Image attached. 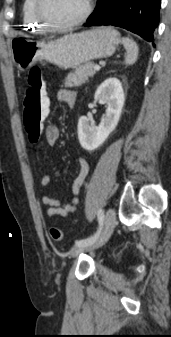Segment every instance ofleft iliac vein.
Masks as SVG:
<instances>
[{
	"label": "left iliac vein",
	"mask_w": 171,
	"mask_h": 337,
	"mask_svg": "<svg viewBox=\"0 0 171 337\" xmlns=\"http://www.w3.org/2000/svg\"><path fill=\"white\" fill-rule=\"evenodd\" d=\"M116 225V215L113 209H109L106 213L105 223L102 232L93 244L84 246H75L70 250L72 257H77L85 251L102 247L110 238Z\"/></svg>",
	"instance_id": "left-iliac-vein-1"
}]
</instances>
